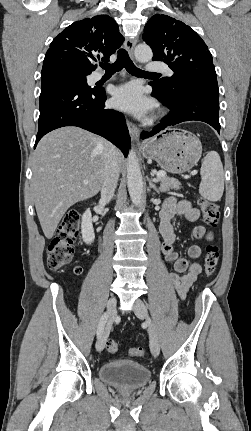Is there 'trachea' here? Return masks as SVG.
<instances>
[{"label":"trachea","mask_w":251,"mask_h":431,"mask_svg":"<svg viewBox=\"0 0 251 431\" xmlns=\"http://www.w3.org/2000/svg\"><path fill=\"white\" fill-rule=\"evenodd\" d=\"M100 66L105 70L106 74L111 75L115 72L121 71L123 68H125L128 73L135 76L158 75L157 73L145 72L137 68L130 59L128 52L123 48L118 50V56L115 63H101Z\"/></svg>","instance_id":"1"}]
</instances>
